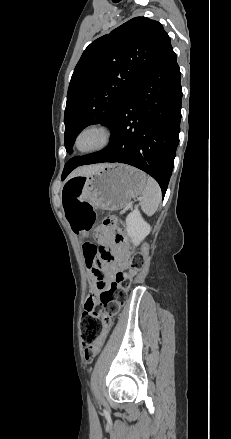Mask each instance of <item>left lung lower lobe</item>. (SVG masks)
Here are the masks:
<instances>
[{
	"instance_id": "1",
	"label": "left lung lower lobe",
	"mask_w": 231,
	"mask_h": 439,
	"mask_svg": "<svg viewBox=\"0 0 231 439\" xmlns=\"http://www.w3.org/2000/svg\"><path fill=\"white\" fill-rule=\"evenodd\" d=\"M171 49L130 91L116 112L111 143L104 150L68 163V172L85 164L119 162L151 175L165 195L179 143L182 87Z\"/></svg>"
}]
</instances>
